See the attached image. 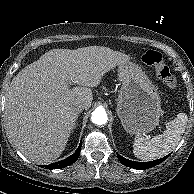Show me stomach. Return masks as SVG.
I'll list each match as a JSON object with an SVG mask.
<instances>
[{"label": "stomach", "instance_id": "0dacf381", "mask_svg": "<svg viewBox=\"0 0 194 194\" xmlns=\"http://www.w3.org/2000/svg\"><path fill=\"white\" fill-rule=\"evenodd\" d=\"M122 87L117 99L116 112L127 133H150L159 125L161 99L156 87L136 64L118 65Z\"/></svg>", "mask_w": 194, "mask_h": 194}]
</instances>
